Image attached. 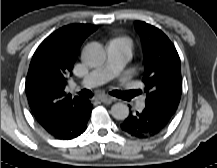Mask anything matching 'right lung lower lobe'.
<instances>
[{"label": "right lung lower lobe", "mask_w": 217, "mask_h": 168, "mask_svg": "<svg viewBox=\"0 0 217 168\" xmlns=\"http://www.w3.org/2000/svg\"><path fill=\"white\" fill-rule=\"evenodd\" d=\"M91 111L92 104L88 101L82 108L64 113L56 123L45 130L56 139H73L86 130Z\"/></svg>", "instance_id": "1"}]
</instances>
